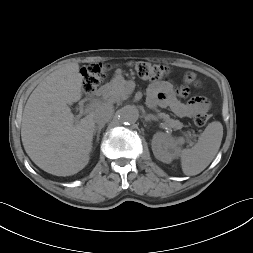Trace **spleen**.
<instances>
[{
  "label": "spleen",
  "mask_w": 253,
  "mask_h": 253,
  "mask_svg": "<svg viewBox=\"0 0 253 253\" xmlns=\"http://www.w3.org/2000/svg\"><path fill=\"white\" fill-rule=\"evenodd\" d=\"M222 137L223 126L214 121L208 124L192 148L179 150L183 173L188 176L201 173L216 156Z\"/></svg>",
  "instance_id": "spleen-1"
}]
</instances>
